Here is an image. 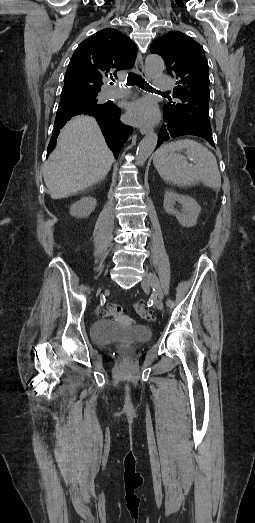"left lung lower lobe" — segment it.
<instances>
[{
	"label": "left lung lower lobe",
	"instance_id": "1",
	"mask_svg": "<svg viewBox=\"0 0 255 523\" xmlns=\"http://www.w3.org/2000/svg\"><path fill=\"white\" fill-rule=\"evenodd\" d=\"M211 130H204L201 125L190 123V121H180V118L165 117L162 128L157 130L159 137H157V144L162 147L165 144L164 140H169V137H181V135H190L194 137H202V140H207V145L214 146L215 134H210ZM206 136V137H203Z\"/></svg>",
	"mask_w": 255,
	"mask_h": 523
}]
</instances>
